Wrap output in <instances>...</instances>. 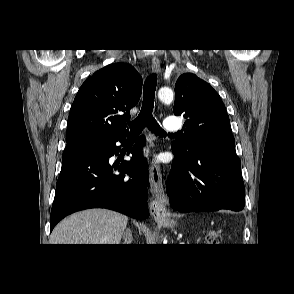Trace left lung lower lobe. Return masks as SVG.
Instances as JSON below:
<instances>
[{
    "label": "left lung lower lobe",
    "mask_w": 294,
    "mask_h": 294,
    "mask_svg": "<svg viewBox=\"0 0 294 294\" xmlns=\"http://www.w3.org/2000/svg\"><path fill=\"white\" fill-rule=\"evenodd\" d=\"M172 152L175 158L166 191L174 210L240 211L244 208L241 163L235 154L213 150L181 154L173 148Z\"/></svg>",
    "instance_id": "1"
}]
</instances>
